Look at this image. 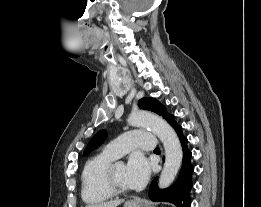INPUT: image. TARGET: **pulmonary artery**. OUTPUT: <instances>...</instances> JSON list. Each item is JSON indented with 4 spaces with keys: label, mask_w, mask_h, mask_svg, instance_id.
Instances as JSON below:
<instances>
[{
    "label": "pulmonary artery",
    "mask_w": 261,
    "mask_h": 207,
    "mask_svg": "<svg viewBox=\"0 0 261 207\" xmlns=\"http://www.w3.org/2000/svg\"><path fill=\"white\" fill-rule=\"evenodd\" d=\"M155 147L156 138L152 133L141 130H131L111 141L105 147V151L115 158H119L136 148L153 150Z\"/></svg>",
    "instance_id": "pulmonary-artery-1"
}]
</instances>
